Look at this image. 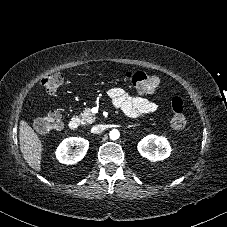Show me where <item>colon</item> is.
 Segmentation results:
<instances>
[{"instance_id": "1", "label": "colon", "mask_w": 227, "mask_h": 227, "mask_svg": "<svg viewBox=\"0 0 227 227\" xmlns=\"http://www.w3.org/2000/svg\"><path fill=\"white\" fill-rule=\"evenodd\" d=\"M123 77L140 93H154L162 84L159 77L142 72L124 70ZM63 77L57 72L43 79L42 85L48 93H55L61 86ZM173 113L171 126L176 130H183L187 126V117L184 112L182 100L178 96H174L170 101ZM62 117L59 111L53 110L48 112L44 117L38 118L34 122L35 129L40 133H49L57 131L61 128Z\"/></svg>"}]
</instances>
